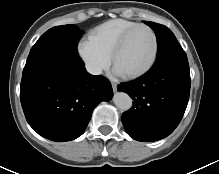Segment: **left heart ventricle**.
<instances>
[{"label": "left heart ventricle", "instance_id": "b2bd125f", "mask_svg": "<svg viewBox=\"0 0 219 174\" xmlns=\"http://www.w3.org/2000/svg\"><path fill=\"white\" fill-rule=\"evenodd\" d=\"M154 41L147 29L136 30L128 39L116 60V67L123 73L137 72L150 62Z\"/></svg>", "mask_w": 219, "mask_h": 174}]
</instances>
